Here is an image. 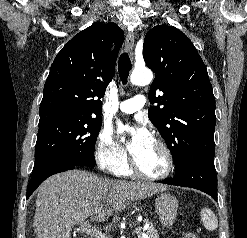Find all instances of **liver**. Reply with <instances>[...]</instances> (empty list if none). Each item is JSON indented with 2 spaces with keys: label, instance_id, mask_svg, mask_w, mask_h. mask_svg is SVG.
<instances>
[{
  "label": "liver",
  "instance_id": "6515ba94",
  "mask_svg": "<svg viewBox=\"0 0 247 238\" xmlns=\"http://www.w3.org/2000/svg\"><path fill=\"white\" fill-rule=\"evenodd\" d=\"M167 186L102 179L87 171L53 175L39 187L33 227L36 238H71L70 231L86 219L102 222L129 205Z\"/></svg>",
  "mask_w": 247,
  "mask_h": 238
}]
</instances>
